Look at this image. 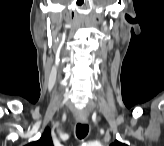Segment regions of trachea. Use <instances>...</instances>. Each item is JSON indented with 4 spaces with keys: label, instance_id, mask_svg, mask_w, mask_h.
I'll use <instances>...</instances> for the list:
<instances>
[{
    "label": "trachea",
    "instance_id": "1",
    "mask_svg": "<svg viewBox=\"0 0 164 146\" xmlns=\"http://www.w3.org/2000/svg\"><path fill=\"white\" fill-rule=\"evenodd\" d=\"M89 131V126L87 124H80L78 123L76 126V136L79 139H83L87 136Z\"/></svg>",
    "mask_w": 164,
    "mask_h": 146
}]
</instances>
